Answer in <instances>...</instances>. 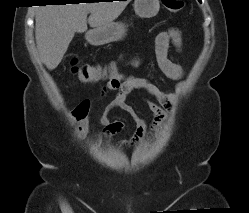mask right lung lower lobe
I'll return each mask as SVG.
<instances>
[{"mask_svg":"<svg viewBox=\"0 0 249 213\" xmlns=\"http://www.w3.org/2000/svg\"><path fill=\"white\" fill-rule=\"evenodd\" d=\"M66 0H47V2H53V3H60L63 4L65 3ZM126 1V0H125ZM59 5V4H58Z\"/></svg>","mask_w":249,"mask_h":213,"instance_id":"98d812e1","label":"right lung lower lobe"}]
</instances>
